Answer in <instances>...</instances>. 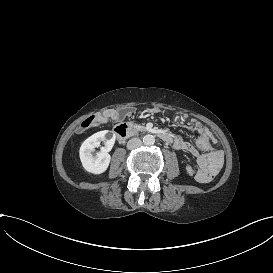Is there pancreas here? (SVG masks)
Returning <instances> with one entry per match:
<instances>
[{
	"instance_id": "1",
	"label": "pancreas",
	"mask_w": 273,
	"mask_h": 273,
	"mask_svg": "<svg viewBox=\"0 0 273 273\" xmlns=\"http://www.w3.org/2000/svg\"><path fill=\"white\" fill-rule=\"evenodd\" d=\"M129 126L132 128H135L136 130H142V126L134 124V123H129Z\"/></svg>"
}]
</instances>
